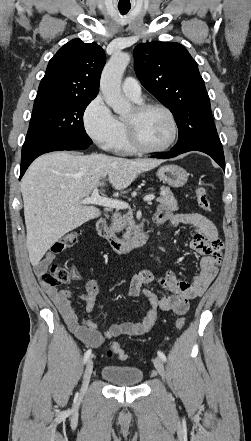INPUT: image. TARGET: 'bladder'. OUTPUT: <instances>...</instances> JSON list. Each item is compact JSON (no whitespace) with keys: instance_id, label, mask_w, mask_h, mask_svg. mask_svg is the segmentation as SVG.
<instances>
[{"instance_id":"bladder-1","label":"bladder","mask_w":251,"mask_h":441,"mask_svg":"<svg viewBox=\"0 0 251 441\" xmlns=\"http://www.w3.org/2000/svg\"><path fill=\"white\" fill-rule=\"evenodd\" d=\"M101 376L116 386H137L144 379L143 371L137 367L106 365L101 370Z\"/></svg>"}]
</instances>
